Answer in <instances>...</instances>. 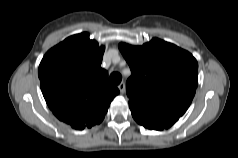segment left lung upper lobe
Masks as SVG:
<instances>
[{
    "instance_id": "left-lung-upper-lobe-1",
    "label": "left lung upper lobe",
    "mask_w": 238,
    "mask_h": 158,
    "mask_svg": "<svg viewBox=\"0 0 238 158\" xmlns=\"http://www.w3.org/2000/svg\"><path fill=\"white\" fill-rule=\"evenodd\" d=\"M132 75L126 90L131 111L147 116H182L198 85V63L188 51L153 38L143 46L120 43Z\"/></svg>"
}]
</instances>
